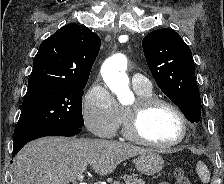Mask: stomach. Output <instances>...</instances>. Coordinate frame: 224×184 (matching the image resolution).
Here are the masks:
<instances>
[{
    "label": "stomach",
    "instance_id": "stomach-1",
    "mask_svg": "<svg viewBox=\"0 0 224 184\" xmlns=\"http://www.w3.org/2000/svg\"><path fill=\"white\" fill-rule=\"evenodd\" d=\"M135 167L141 174L152 176L161 171L164 161L159 154L149 151L135 159Z\"/></svg>",
    "mask_w": 224,
    "mask_h": 184
}]
</instances>
